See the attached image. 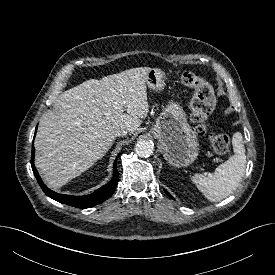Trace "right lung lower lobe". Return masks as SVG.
Listing matches in <instances>:
<instances>
[{
    "mask_svg": "<svg viewBox=\"0 0 275 275\" xmlns=\"http://www.w3.org/2000/svg\"><path fill=\"white\" fill-rule=\"evenodd\" d=\"M37 130V128H36ZM34 156H35V149H34V145H32V156H31V166H32V170L33 173L40 185V187L42 188V190L44 191V193L49 196L50 198L63 203V204H67L76 208H81V209H85V208H89L92 206H95L97 204L102 203L103 201L107 200L108 198H110L112 196V194L114 193L117 183H118V179H119V175H118V171H117V159L116 158L114 165H113V177L111 179V181L102 186L101 188L97 189L94 193L87 195V196H71V195H62V194H58L54 191H51L43 182L42 179L40 178L35 166H34Z\"/></svg>",
    "mask_w": 275,
    "mask_h": 275,
    "instance_id": "1",
    "label": "right lung lower lobe"
}]
</instances>
